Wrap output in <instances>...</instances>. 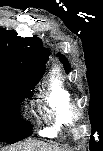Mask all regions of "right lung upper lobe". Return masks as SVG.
Masks as SVG:
<instances>
[{"label": "right lung upper lobe", "mask_w": 103, "mask_h": 151, "mask_svg": "<svg viewBox=\"0 0 103 151\" xmlns=\"http://www.w3.org/2000/svg\"><path fill=\"white\" fill-rule=\"evenodd\" d=\"M49 55L36 35L21 39L14 31L0 30V79L9 86L21 87L41 78Z\"/></svg>", "instance_id": "cb5924a9"}]
</instances>
